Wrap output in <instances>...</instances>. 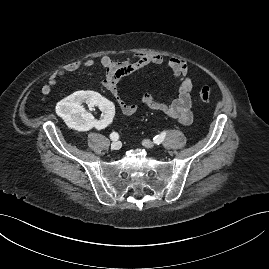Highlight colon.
I'll return each instance as SVG.
<instances>
[{
	"instance_id": "colon-1",
	"label": "colon",
	"mask_w": 269,
	"mask_h": 269,
	"mask_svg": "<svg viewBox=\"0 0 269 269\" xmlns=\"http://www.w3.org/2000/svg\"><path fill=\"white\" fill-rule=\"evenodd\" d=\"M212 97V89L208 86H202L198 90V99L202 103L210 102Z\"/></svg>"
}]
</instances>
